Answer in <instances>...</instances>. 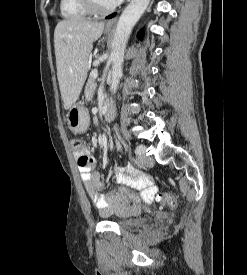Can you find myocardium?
I'll return each mask as SVG.
<instances>
[{
	"label": "myocardium",
	"instance_id": "f54148a6",
	"mask_svg": "<svg viewBox=\"0 0 247 275\" xmlns=\"http://www.w3.org/2000/svg\"><path fill=\"white\" fill-rule=\"evenodd\" d=\"M80 2L89 11V13L95 15H104L112 12L116 8V5L108 8H102L97 4L95 0H80Z\"/></svg>",
	"mask_w": 247,
	"mask_h": 275
}]
</instances>
